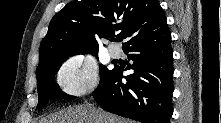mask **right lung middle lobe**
<instances>
[{
  "instance_id": "dd1d6c3e",
  "label": "right lung middle lobe",
  "mask_w": 221,
  "mask_h": 123,
  "mask_svg": "<svg viewBox=\"0 0 221 123\" xmlns=\"http://www.w3.org/2000/svg\"><path fill=\"white\" fill-rule=\"evenodd\" d=\"M91 53L97 55L96 52ZM68 57L60 58L58 60L50 62L36 70L37 89L39 95V103L37 105V109H42L50 99L74 98L73 96L67 95L66 93L62 92L58 84L54 81L55 74L62 65V62H64ZM109 72L110 70H108L104 65H100V80L103 79Z\"/></svg>"
}]
</instances>
